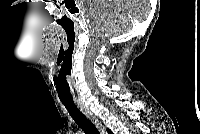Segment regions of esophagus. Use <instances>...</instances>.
<instances>
[{"mask_svg":"<svg viewBox=\"0 0 200 134\" xmlns=\"http://www.w3.org/2000/svg\"><path fill=\"white\" fill-rule=\"evenodd\" d=\"M78 107L80 110L87 116L88 119H90L93 124L97 127L99 130L100 134H106V129L100 122V120L84 105L81 103H77Z\"/></svg>","mask_w":200,"mask_h":134,"instance_id":"esophagus-1","label":"esophagus"}]
</instances>
